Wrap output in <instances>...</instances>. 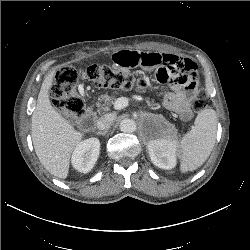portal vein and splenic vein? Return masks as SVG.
I'll return each mask as SVG.
<instances>
[{
	"instance_id": "obj_1",
	"label": "portal vein and splenic vein",
	"mask_w": 250,
	"mask_h": 250,
	"mask_svg": "<svg viewBox=\"0 0 250 250\" xmlns=\"http://www.w3.org/2000/svg\"><path fill=\"white\" fill-rule=\"evenodd\" d=\"M128 103H129V99L128 98H126V97H119L114 102V109L115 110H121V109L127 107Z\"/></svg>"
}]
</instances>
